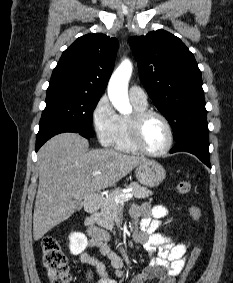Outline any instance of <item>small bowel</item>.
<instances>
[{
    "instance_id": "obj_1",
    "label": "small bowel",
    "mask_w": 233,
    "mask_h": 283,
    "mask_svg": "<svg viewBox=\"0 0 233 283\" xmlns=\"http://www.w3.org/2000/svg\"><path fill=\"white\" fill-rule=\"evenodd\" d=\"M131 215L140 220L139 242L151 255L149 265L135 275L131 283H146L151 280H156L158 283H176V278L181 276L186 265L187 245L174 243L169 235L158 231L161 220L167 215V209L161 205L151 206L142 203L132 207ZM89 235V247H98L111 261L115 269V277L109 276L104 264L88 253H82L80 260L94 269L98 276L96 283H117V279L122 275L123 261L110 249L108 234L95 227L89 229ZM86 280L92 282L91 270L86 272Z\"/></svg>"
}]
</instances>
